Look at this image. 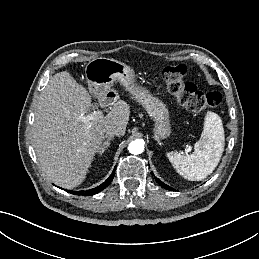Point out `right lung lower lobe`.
<instances>
[{"label": "right lung lower lobe", "mask_w": 259, "mask_h": 259, "mask_svg": "<svg viewBox=\"0 0 259 259\" xmlns=\"http://www.w3.org/2000/svg\"><path fill=\"white\" fill-rule=\"evenodd\" d=\"M115 170H116V167L114 168L110 177L104 183H102L100 186H98L96 188H93V189H90V190H87V191H71V190H69L67 192H69L71 194L83 195V196H91V195L97 194L98 192L105 189L111 183V181H112V179L114 178V175H115Z\"/></svg>", "instance_id": "obj_1"}]
</instances>
